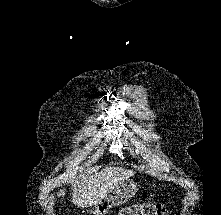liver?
I'll return each instance as SVG.
<instances>
[{
  "mask_svg": "<svg viewBox=\"0 0 221 215\" xmlns=\"http://www.w3.org/2000/svg\"><path fill=\"white\" fill-rule=\"evenodd\" d=\"M134 172L123 168L106 167L100 172L88 174L72 185V202L87 208L98 204L107 193L119 182L133 176ZM65 190H60L58 196H64Z\"/></svg>",
  "mask_w": 221,
  "mask_h": 215,
  "instance_id": "6515ba94",
  "label": "liver"
}]
</instances>
